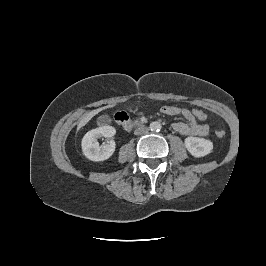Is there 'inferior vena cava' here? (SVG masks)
<instances>
[{
    "label": "inferior vena cava",
    "mask_w": 266,
    "mask_h": 266,
    "mask_svg": "<svg viewBox=\"0 0 266 266\" xmlns=\"http://www.w3.org/2000/svg\"><path fill=\"white\" fill-rule=\"evenodd\" d=\"M146 132H148L147 127H142V128H139L138 130H136V134H142V133H146Z\"/></svg>",
    "instance_id": "1"
}]
</instances>
